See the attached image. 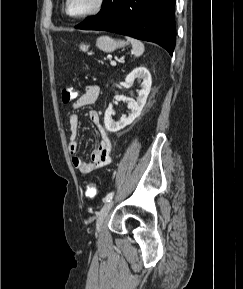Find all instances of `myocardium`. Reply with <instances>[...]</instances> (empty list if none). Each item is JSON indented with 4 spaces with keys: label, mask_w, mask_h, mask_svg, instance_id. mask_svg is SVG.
Instances as JSON below:
<instances>
[{
    "label": "myocardium",
    "mask_w": 243,
    "mask_h": 289,
    "mask_svg": "<svg viewBox=\"0 0 243 289\" xmlns=\"http://www.w3.org/2000/svg\"><path fill=\"white\" fill-rule=\"evenodd\" d=\"M70 1L71 0H65V12L69 17L75 18V19H83V18L96 15L103 9L105 5V0H95L94 6L89 11L84 12L82 14L74 15V14H71L69 11Z\"/></svg>",
    "instance_id": "1"
}]
</instances>
